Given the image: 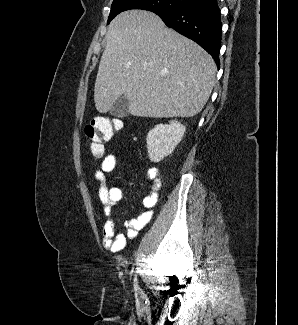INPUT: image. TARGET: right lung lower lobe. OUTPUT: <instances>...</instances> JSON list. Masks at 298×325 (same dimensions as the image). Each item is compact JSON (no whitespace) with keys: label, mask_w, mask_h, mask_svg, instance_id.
<instances>
[{"label":"right lung lower lobe","mask_w":298,"mask_h":325,"mask_svg":"<svg viewBox=\"0 0 298 325\" xmlns=\"http://www.w3.org/2000/svg\"><path fill=\"white\" fill-rule=\"evenodd\" d=\"M170 28L204 48L220 66L222 23L217 0H192L172 11L154 12Z\"/></svg>","instance_id":"1"}]
</instances>
